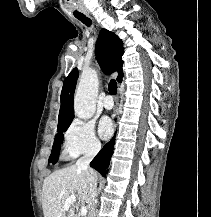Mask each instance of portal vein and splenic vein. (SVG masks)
<instances>
[{
  "mask_svg": "<svg viewBox=\"0 0 211 217\" xmlns=\"http://www.w3.org/2000/svg\"><path fill=\"white\" fill-rule=\"evenodd\" d=\"M77 198L75 196H70L69 198L66 199L65 203H64V209L65 210H68L70 205L73 203V202H76ZM88 210H87V207L86 206H83L81 208V215L82 216H85L87 214Z\"/></svg>",
  "mask_w": 211,
  "mask_h": 217,
  "instance_id": "obj_1",
  "label": "portal vein and splenic vein"
}]
</instances>
